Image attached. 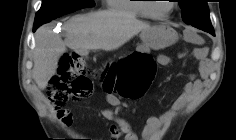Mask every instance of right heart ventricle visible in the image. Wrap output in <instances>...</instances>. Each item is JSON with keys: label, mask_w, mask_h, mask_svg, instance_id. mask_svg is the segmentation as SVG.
I'll return each instance as SVG.
<instances>
[{"label": "right heart ventricle", "mask_w": 236, "mask_h": 140, "mask_svg": "<svg viewBox=\"0 0 236 140\" xmlns=\"http://www.w3.org/2000/svg\"><path fill=\"white\" fill-rule=\"evenodd\" d=\"M143 0H109V8L113 11L128 13L135 16H149Z\"/></svg>", "instance_id": "obj_1"}]
</instances>
